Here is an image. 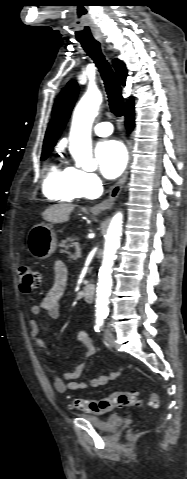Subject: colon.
<instances>
[{
	"label": "colon",
	"instance_id": "1",
	"mask_svg": "<svg viewBox=\"0 0 187 479\" xmlns=\"http://www.w3.org/2000/svg\"><path fill=\"white\" fill-rule=\"evenodd\" d=\"M18 276L20 289L24 293H29L39 287L41 275L38 271L27 264H20L18 267ZM140 403L138 393L134 390L115 391L107 397L101 399H71V407L86 413L104 414L116 407L126 408ZM159 404L158 396L151 394L150 405L157 407Z\"/></svg>",
	"mask_w": 187,
	"mask_h": 479
}]
</instances>
